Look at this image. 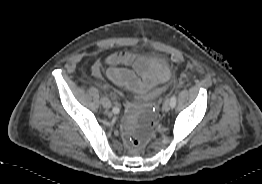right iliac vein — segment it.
<instances>
[{"instance_id":"1","label":"right iliac vein","mask_w":262,"mask_h":184,"mask_svg":"<svg viewBox=\"0 0 262 184\" xmlns=\"http://www.w3.org/2000/svg\"><path fill=\"white\" fill-rule=\"evenodd\" d=\"M101 103H102V106L105 108V109H109L111 107V102L110 100L107 98V97H103L101 99Z\"/></svg>"}]
</instances>
